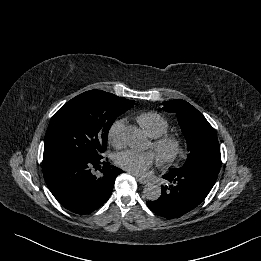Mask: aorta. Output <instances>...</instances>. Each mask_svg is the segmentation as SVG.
Returning a JSON list of instances; mask_svg holds the SVG:
<instances>
[{"mask_svg":"<svg viewBox=\"0 0 261 261\" xmlns=\"http://www.w3.org/2000/svg\"><path fill=\"white\" fill-rule=\"evenodd\" d=\"M123 138L126 144L134 150L143 149L147 142L146 136L144 135L142 130L135 126L126 127L123 133ZM143 193L146 199L150 201H155L161 195V188L159 185H156L154 183H148L145 185Z\"/></svg>","mask_w":261,"mask_h":261,"instance_id":"1","label":"aorta"}]
</instances>
